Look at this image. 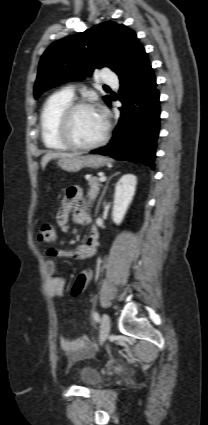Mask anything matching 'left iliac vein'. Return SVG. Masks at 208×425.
<instances>
[{
  "label": "left iliac vein",
  "mask_w": 208,
  "mask_h": 425,
  "mask_svg": "<svg viewBox=\"0 0 208 425\" xmlns=\"http://www.w3.org/2000/svg\"><path fill=\"white\" fill-rule=\"evenodd\" d=\"M110 332V319L107 314H104L101 318V329H100V341L104 342Z\"/></svg>",
  "instance_id": "1"
}]
</instances>
